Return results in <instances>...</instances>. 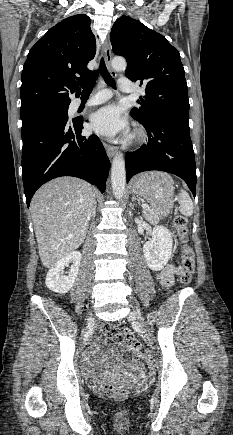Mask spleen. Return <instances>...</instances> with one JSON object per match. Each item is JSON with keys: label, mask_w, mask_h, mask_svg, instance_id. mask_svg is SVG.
I'll return each mask as SVG.
<instances>
[{"label": "spleen", "mask_w": 233, "mask_h": 435, "mask_svg": "<svg viewBox=\"0 0 233 435\" xmlns=\"http://www.w3.org/2000/svg\"><path fill=\"white\" fill-rule=\"evenodd\" d=\"M178 202L181 214L184 216H191L193 214V202L185 190H180Z\"/></svg>", "instance_id": "3e777b00"}]
</instances>
